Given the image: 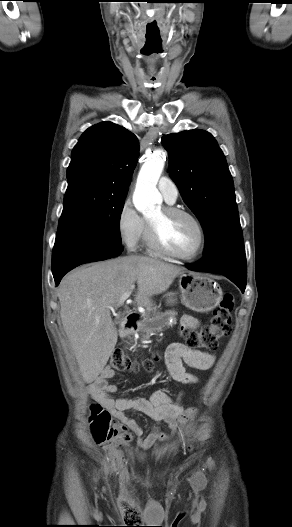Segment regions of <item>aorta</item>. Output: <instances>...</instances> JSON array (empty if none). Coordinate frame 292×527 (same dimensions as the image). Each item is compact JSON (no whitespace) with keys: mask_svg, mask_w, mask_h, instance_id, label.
I'll list each match as a JSON object with an SVG mask.
<instances>
[{"mask_svg":"<svg viewBox=\"0 0 292 527\" xmlns=\"http://www.w3.org/2000/svg\"><path fill=\"white\" fill-rule=\"evenodd\" d=\"M165 156L162 150H154L142 165L133 194L135 208L145 214L151 213L161 203L162 197L156 188L164 169Z\"/></svg>","mask_w":292,"mask_h":527,"instance_id":"aorta-1","label":"aorta"}]
</instances>
